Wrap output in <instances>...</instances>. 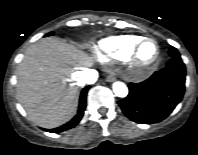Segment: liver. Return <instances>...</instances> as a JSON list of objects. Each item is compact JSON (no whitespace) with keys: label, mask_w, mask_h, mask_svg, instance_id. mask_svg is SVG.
<instances>
[{"label":"liver","mask_w":198,"mask_h":155,"mask_svg":"<svg viewBox=\"0 0 198 155\" xmlns=\"http://www.w3.org/2000/svg\"><path fill=\"white\" fill-rule=\"evenodd\" d=\"M91 59L80 49L59 39L33 45L17 69V99L39 126L55 128L76 113L81 69Z\"/></svg>","instance_id":"obj_1"}]
</instances>
